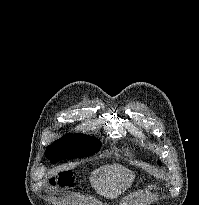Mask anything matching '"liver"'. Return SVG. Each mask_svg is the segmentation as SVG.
<instances>
[{"instance_id":"1","label":"liver","mask_w":199,"mask_h":205,"mask_svg":"<svg viewBox=\"0 0 199 205\" xmlns=\"http://www.w3.org/2000/svg\"><path fill=\"white\" fill-rule=\"evenodd\" d=\"M133 179L131 170L113 164L104 165L92 172L90 182L98 194L113 199L130 187Z\"/></svg>"}]
</instances>
